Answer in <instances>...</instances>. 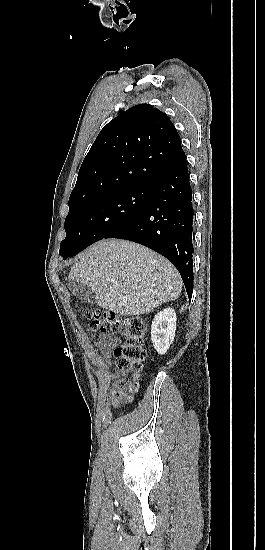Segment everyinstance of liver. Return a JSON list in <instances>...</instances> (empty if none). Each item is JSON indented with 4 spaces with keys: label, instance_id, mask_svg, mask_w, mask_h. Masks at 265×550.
<instances>
[{
    "label": "liver",
    "instance_id": "liver-1",
    "mask_svg": "<svg viewBox=\"0 0 265 550\" xmlns=\"http://www.w3.org/2000/svg\"><path fill=\"white\" fill-rule=\"evenodd\" d=\"M69 280L90 286L98 306L121 316L149 313L182 290L181 276L166 258L119 239L101 240L79 254Z\"/></svg>",
    "mask_w": 265,
    "mask_h": 550
}]
</instances>
